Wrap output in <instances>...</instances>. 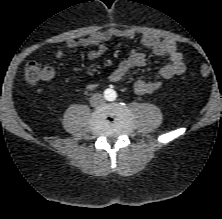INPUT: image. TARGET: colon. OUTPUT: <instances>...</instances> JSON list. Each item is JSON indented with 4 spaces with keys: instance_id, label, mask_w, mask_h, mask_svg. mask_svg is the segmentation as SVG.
<instances>
[{
    "instance_id": "colon-1",
    "label": "colon",
    "mask_w": 222,
    "mask_h": 219,
    "mask_svg": "<svg viewBox=\"0 0 222 219\" xmlns=\"http://www.w3.org/2000/svg\"><path fill=\"white\" fill-rule=\"evenodd\" d=\"M200 77H208L211 73L210 67L202 63L197 69ZM47 76L45 67L34 60H29L24 68V78L30 85H36L39 81L43 80Z\"/></svg>"
}]
</instances>
